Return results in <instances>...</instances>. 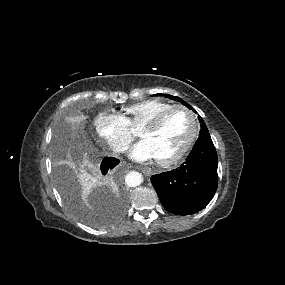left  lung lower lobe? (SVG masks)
<instances>
[{
  "label": "left lung lower lobe",
  "instance_id": "obj_1",
  "mask_svg": "<svg viewBox=\"0 0 285 285\" xmlns=\"http://www.w3.org/2000/svg\"><path fill=\"white\" fill-rule=\"evenodd\" d=\"M217 167V153L210 134H206L198 138L179 168L153 175L151 181L166 210L194 214L205 208L216 192Z\"/></svg>",
  "mask_w": 285,
  "mask_h": 285
}]
</instances>
